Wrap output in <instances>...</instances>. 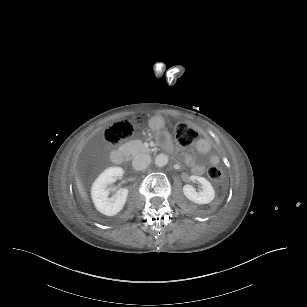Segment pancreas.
<instances>
[{
    "mask_svg": "<svg viewBox=\"0 0 307 307\" xmlns=\"http://www.w3.org/2000/svg\"><path fill=\"white\" fill-rule=\"evenodd\" d=\"M140 150H141L142 152H146V149L143 148L142 146H141Z\"/></svg>",
    "mask_w": 307,
    "mask_h": 307,
    "instance_id": "cf45deb5",
    "label": "pancreas"
}]
</instances>
